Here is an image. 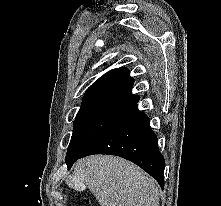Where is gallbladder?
<instances>
[{
	"label": "gallbladder",
	"instance_id": "gallbladder-1",
	"mask_svg": "<svg viewBox=\"0 0 221 206\" xmlns=\"http://www.w3.org/2000/svg\"><path fill=\"white\" fill-rule=\"evenodd\" d=\"M68 186H72V190H87V185H84V181H68Z\"/></svg>",
	"mask_w": 221,
	"mask_h": 206
}]
</instances>
